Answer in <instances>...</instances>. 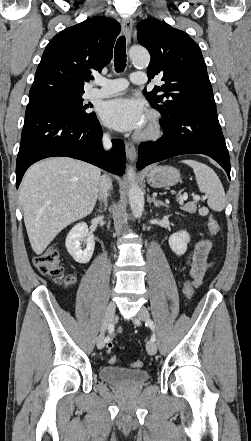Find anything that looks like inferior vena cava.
Instances as JSON below:
<instances>
[{"instance_id": "1", "label": "inferior vena cava", "mask_w": 251, "mask_h": 441, "mask_svg": "<svg viewBox=\"0 0 251 441\" xmlns=\"http://www.w3.org/2000/svg\"><path fill=\"white\" fill-rule=\"evenodd\" d=\"M102 142H103V146L105 149L111 148L112 143H111L110 136L108 134H105L103 136ZM110 188H111L110 179L107 178L106 176H103L99 182V199L100 200H104L106 202V199L109 195Z\"/></svg>"}]
</instances>
